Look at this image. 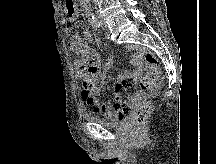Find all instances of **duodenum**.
Segmentation results:
<instances>
[{
  "instance_id": "duodenum-1",
  "label": "duodenum",
  "mask_w": 216,
  "mask_h": 164,
  "mask_svg": "<svg viewBox=\"0 0 216 164\" xmlns=\"http://www.w3.org/2000/svg\"><path fill=\"white\" fill-rule=\"evenodd\" d=\"M71 3H72V1H71ZM86 12H87V16L90 18L91 13H90V8L88 6L86 7Z\"/></svg>"
}]
</instances>
